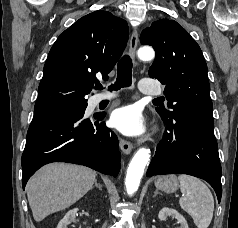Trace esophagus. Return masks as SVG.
I'll return each mask as SVG.
<instances>
[{
	"label": "esophagus",
	"mask_w": 238,
	"mask_h": 228,
	"mask_svg": "<svg viewBox=\"0 0 238 228\" xmlns=\"http://www.w3.org/2000/svg\"><path fill=\"white\" fill-rule=\"evenodd\" d=\"M137 44H138V32L135 29L132 32L130 41H129V54H130L131 58L133 59L135 65H137V62L135 60ZM119 145H120L121 150L125 154H129L133 150V144L127 140L120 139Z\"/></svg>",
	"instance_id": "34e87169"
}]
</instances>
